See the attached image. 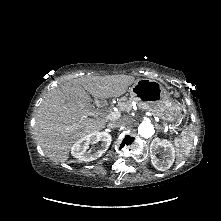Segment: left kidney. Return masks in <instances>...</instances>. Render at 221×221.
I'll use <instances>...</instances> for the list:
<instances>
[{
	"label": "left kidney",
	"instance_id": "obj_1",
	"mask_svg": "<svg viewBox=\"0 0 221 221\" xmlns=\"http://www.w3.org/2000/svg\"><path fill=\"white\" fill-rule=\"evenodd\" d=\"M158 147H164L165 159L159 160L156 158ZM150 157L152 165L159 171L168 170L175 160V150L170 141L166 139L156 138L150 145Z\"/></svg>",
	"mask_w": 221,
	"mask_h": 221
}]
</instances>
